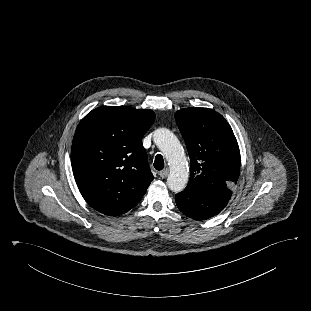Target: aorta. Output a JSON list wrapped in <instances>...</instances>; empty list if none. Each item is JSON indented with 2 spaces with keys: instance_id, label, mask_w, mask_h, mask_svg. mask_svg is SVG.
I'll return each instance as SVG.
<instances>
[{
  "instance_id": "762f6f07",
  "label": "aorta",
  "mask_w": 311,
  "mask_h": 311,
  "mask_svg": "<svg viewBox=\"0 0 311 311\" xmlns=\"http://www.w3.org/2000/svg\"><path fill=\"white\" fill-rule=\"evenodd\" d=\"M153 140L165 155L170 166L167 185L175 193L181 192L189 179V168L184 150L177 137L166 128L154 132Z\"/></svg>"
}]
</instances>
